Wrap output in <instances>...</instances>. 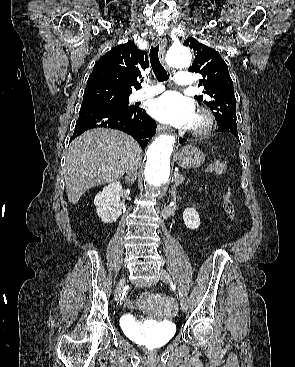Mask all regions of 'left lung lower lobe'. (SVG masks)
Segmentation results:
<instances>
[{"mask_svg":"<svg viewBox=\"0 0 295 367\" xmlns=\"http://www.w3.org/2000/svg\"><path fill=\"white\" fill-rule=\"evenodd\" d=\"M217 131L232 134L239 140L238 132H237V126L234 125V124L229 123V124L219 125ZM184 141H185V139H180V143H182Z\"/></svg>","mask_w":295,"mask_h":367,"instance_id":"left-lung-lower-lobe-1","label":"left lung lower lobe"}]
</instances>
